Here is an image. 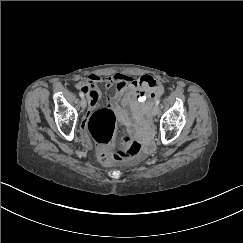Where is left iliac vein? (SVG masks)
I'll use <instances>...</instances> for the list:
<instances>
[{"instance_id": "left-iliac-vein-1", "label": "left iliac vein", "mask_w": 243, "mask_h": 243, "mask_svg": "<svg viewBox=\"0 0 243 243\" xmlns=\"http://www.w3.org/2000/svg\"><path fill=\"white\" fill-rule=\"evenodd\" d=\"M158 113H159V107H158L157 105H155V106L152 108V115H153V116H156Z\"/></svg>"}]
</instances>
